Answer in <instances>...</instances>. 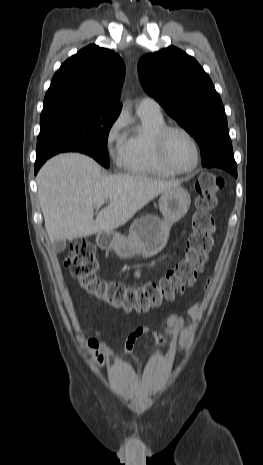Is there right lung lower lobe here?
Instances as JSON below:
<instances>
[{
  "label": "right lung lower lobe",
  "instance_id": "98d812e1",
  "mask_svg": "<svg viewBox=\"0 0 263 465\" xmlns=\"http://www.w3.org/2000/svg\"><path fill=\"white\" fill-rule=\"evenodd\" d=\"M42 164L35 163V173H37L38 169L41 167Z\"/></svg>",
  "mask_w": 263,
  "mask_h": 465
}]
</instances>
